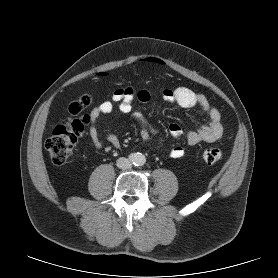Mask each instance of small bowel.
I'll return each instance as SVG.
<instances>
[{
	"instance_id": "obj_1",
	"label": "small bowel",
	"mask_w": 278,
	"mask_h": 278,
	"mask_svg": "<svg viewBox=\"0 0 278 278\" xmlns=\"http://www.w3.org/2000/svg\"><path fill=\"white\" fill-rule=\"evenodd\" d=\"M106 75V73H101L98 76L105 77ZM161 97L165 102L176 104L181 108L190 109L199 107L208 117V123L202 125L199 129L189 131L186 134V139L189 145L194 146L201 142L211 143L222 137L224 127L222 124L221 113L217 107L210 104L205 95L196 93L185 86H177L175 88L163 89ZM151 98L150 91L145 88L135 89L133 86H127L116 89L112 94L111 100L100 103L91 112L89 134L94 145L97 148H101L102 146L96 126L97 118L102 114L112 113L115 106H117L121 112L130 115V117L140 126L141 138L144 141L149 142L151 140L153 126L141 113L133 111L132 105L135 100L147 103ZM168 130L173 138H179L184 133L182 128L176 123L170 124ZM106 137L113 147H120V140L116 135L107 133ZM184 153V148L180 145H176L171 149L170 156L174 159H179L183 157Z\"/></svg>"
}]
</instances>
